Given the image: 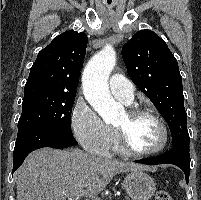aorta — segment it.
Returning a JSON list of instances; mask_svg holds the SVG:
<instances>
[{
	"instance_id": "762f6f07",
	"label": "aorta",
	"mask_w": 201,
	"mask_h": 200,
	"mask_svg": "<svg viewBox=\"0 0 201 200\" xmlns=\"http://www.w3.org/2000/svg\"><path fill=\"white\" fill-rule=\"evenodd\" d=\"M115 64L114 48L106 45L90 59L82 75L84 96L106 124L115 122L120 115V105L108 87V78Z\"/></svg>"
}]
</instances>
